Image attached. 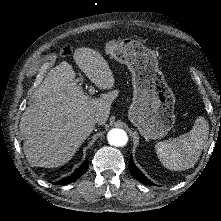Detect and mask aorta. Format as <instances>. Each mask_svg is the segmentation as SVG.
<instances>
[{"label":"aorta","mask_w":221,"mask_h":221,"mask_svg":"<svg viewBox=\"0 0 221 221\" xmlns=\"http://www.w3.org/2000/svg\"><path fill=\"white\" fill-rule=\"evenodd\" d=\"M107 140L112 146L122 147L127 144L128 136L123 129L114 128L108 132Z\"/></svg>","instance_id":"aorta-1"}]
</instances>
